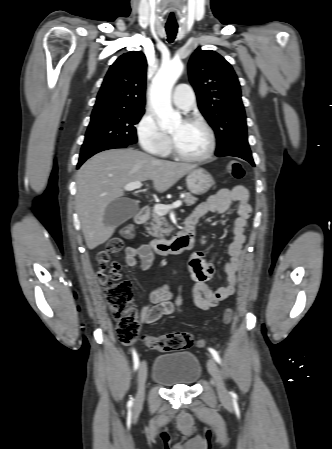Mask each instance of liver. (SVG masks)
<instances>
[{
  "label": "liver",
  "instance_id": "obj_1",
  "mask_svg": "<svg viewBox=\"0 0 332 449\" xmlns=\"http://www.w3.org/2000/svg\"><path fill=\"white\" fill-rule=\"evenodd\" d=\"M195 165L155 159L134 149H112L93 156L77 172L76 207L89 249L105 243L115 226L104 224L106 207L124 195L126 184L152 180L164 192Z\"/></svg>",
  "mask_w": 332,
  "mask_h": 449
}]
</instances>
